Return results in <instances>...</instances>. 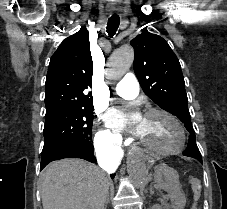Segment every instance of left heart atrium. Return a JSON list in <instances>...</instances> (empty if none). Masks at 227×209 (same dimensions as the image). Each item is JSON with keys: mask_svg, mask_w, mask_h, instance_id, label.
<instances>
[{"mask_svg": "<svg viewBox=\"0 0 227 209\" xmlns=\"http://www.w3.org/2000/svg\"><path fill=\"white\" fill-rule=\"evenodd\" d=\"M142 119L143 117L137 110L131 114V121L136 127L141 124ZM105 121L110 126L119 130L123 129L125 126V118L121 110L118 108H110L105 115Z\"/></svg>", "mask_w": 227, "mask_h": 209, "instance_id": "1", "label": "left heart atrium"}]
</instances>
